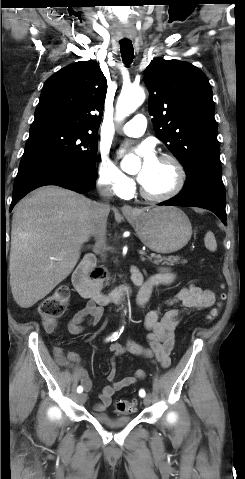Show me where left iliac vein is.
I'll return each instance as SVG.
<instances>
[{
	"mask_svg": "<svg viewBox=\"0 0 245 479\" xmlns=\"http://www.w3.org/2000/svg\"><path fill=\"white\" fill-rule=\"evenodd\" d=\"M151 402L150 396H146L143 400L144 405L148 406Z\"/></svg>",
	"mask_w": 245,
	"mask_h": 479,
	"instance_id": "left-iliac-vein-1",
	"label": "left iliac vein"
}]
</instances>
